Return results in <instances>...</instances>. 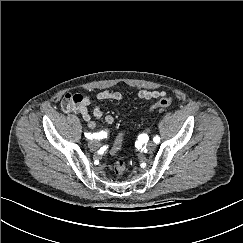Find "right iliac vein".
<instances>
[{
    "label": "right iliac vein",
    "instance_id": "1",
    "mask_svg": "<svg viewBox=\"0 0 243 243\" xmlns=\"http://www.w3.org/2000/svg\"><path fill=\"white\" fill-rule=\"evenodd\" d=\"M88 146L90 149L95 150L99 147V142L96 140H92L89 142Z\"/></svg>",
    "mask_w": 243,
    "mask_h": 243
}]
</instances>
